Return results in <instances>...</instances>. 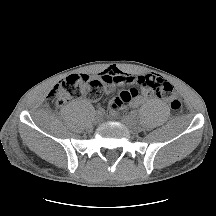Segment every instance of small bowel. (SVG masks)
Masks as SVG:
<instances>
[{"instance_id":"1","label":"small bowel","mask_w":216,"mask_h":216,"mask_svg":"<svg viewBox=\"0 0 216 216\" xmlns=\"http://www.w3.org/2000/svg\"><path fill=\"white\" fill-rule=\"evenodd\" d=\"M150 75L133 76L116 67H110L98 74L99 79L104 84V94L109 95L116 86L131 84L138 90V94L131 100L130 105L137 107L143 104L151 95V91L140 85V81Z\"/></svg>"}]
</instances>
